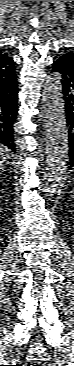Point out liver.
<instances>
[{
  "instance_id": "1",
  "label": "liver",
  "mask_w": 74,
  "mask_h": 366,
  "mask_svg": "<svg viewBox=\"0 0 74 366\" xmlns=\"http://www.w3.org/2000/svg\"><path fill=\"white\" fill-rule=\"evenodd\" d=\"M10 150L6 147L1 145L0 146V165L3 166V163L7 162L10 158Z\"/></svg>"
}]
</instances>
